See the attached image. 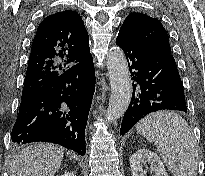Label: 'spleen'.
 Here are the masks:
<instances>
[{"mask_svg":"<svg viewBox=\"0 0 205 176\" xmlns=\"http://www.w3.org/2000/svg\"><path fill=\"white\" fill-rule=\"evenodd\" d=\"M139 134L154 143L174 176H197V141L188 123L172 111H158L136 126Z\"/></svg>","mask_w":205,"mask_h":176,"instance_id":"1","label":"spleen"}]
</instances>
